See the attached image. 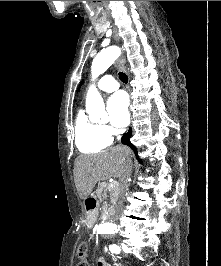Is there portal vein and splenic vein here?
Here are the masks:
<instances>
[{"mask_svg": "<svg viewBox=\"0 0 221 266\" xmlns=\"http://www.w3.org/2000/svg\"><path fill=\"white\" fill-rule=\"evenodd\" d=\"M118 188V181H113L109 184V189Z\"/></svg>", "mask_w": 221, "mask_h": 266, "instance_id": "portal-vein-and-splenic-vein-1", "label": "portal vein and splenic vein"}]
</instances>
